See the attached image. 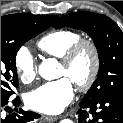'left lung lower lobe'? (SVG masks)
I'll use <instances>...</instances> for the list:
<instances>
[{
  "label": "left lung lower lobe",
  "instance_id": "0a47b994",
  "mask_svg": "<svg viewBox=\"0 0 123 123\" xmlns=\"http://www.w3.org/2000/svg\"><path fill=\"white\" fill-rule=\"evenodd\" d=\"M80 107L79 123H123V93L82 99Z\"/></svg>",
  "mask_w": 123,
  "mask_h": 123
}]
</instances>
